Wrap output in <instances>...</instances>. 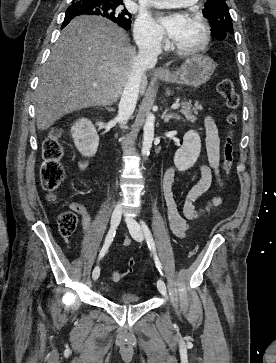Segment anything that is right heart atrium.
Wrapping results in <instances>:
<instances>
[{"label": "right heart atrium", "mask_w": 276, "mask_h": 363, "mask_svg": "<svg viewBox=\"0 0 276 363\" xmlns=\"http://www.w3.org/2000/svg\"><path fill=\"white\" fill-rule=\"evenodd\" d=\"M135 36L137 42L146 47H159L163 41L162 33L147 14L138 17L135 24Z\"/></svg>", "instance_id": "1"}]
</instances>
